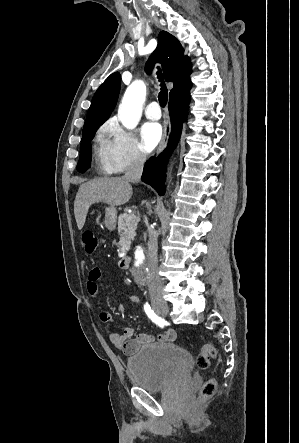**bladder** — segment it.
Returning a JSON list of instances; mask_svg holds the SVG:
<instances>
[{
    "instance_id": "31cf9c89",
    "label": "bladder",
    "mask_w": 299,
    "mask_h": 443,
    "mask_svg": "<svg viewBox=\"0 0 299 443\" xmlns=\"http://www.w3.org/2000/svg\"><path fill=\"white\" fill-rule=\"evenodd\" d=\"M192 367L191 354L175 343L147 345L127 362L133 383L148 391H160L189 378Z\"/></svg>"
}]
</instances>
